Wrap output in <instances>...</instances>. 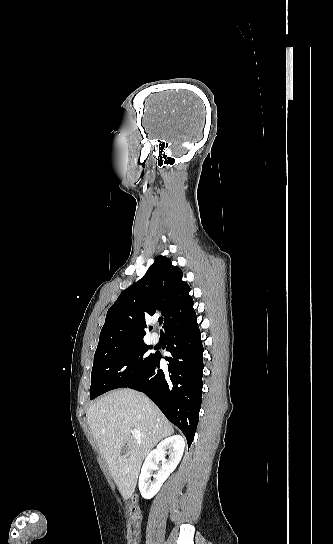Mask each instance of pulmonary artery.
<instances>
[{
    "instance_id": "obj_1",
    "label": "pulmonary artery",
    "mask_w": 333,
    "mask_h": 544,
    "mask_svg": "<svg viewBox=\"0 0 333 544\" xmlns=\"http://www.w3.org/2000/svg\"><path fill=\"white\" fill-rule=\"evenodd\" d=\"M159 338H160V336H159V334H158L157 332H153V333L151 334V341H152L153 343H158Z\"/></svg>"
}]
</instances>
